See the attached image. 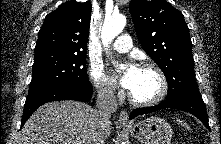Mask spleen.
<instances>
[{"instance_id": "obj_1", "label": "spleen", "mask_w": 221, "mask_h": 144, "mask_svg": "<svg viewBox=\"0 0 221 144\" xmlns=\"http://www.w3.org/2000/svg\"><path fill=\"white\" fill-rule=\"evenodd\" d=\"M177 122H178L180 125H182V126L186 127L187 129H189V126H188V124H187L186 122H184V121H182V120H177Z\"/></svg>"}]
</instances>
